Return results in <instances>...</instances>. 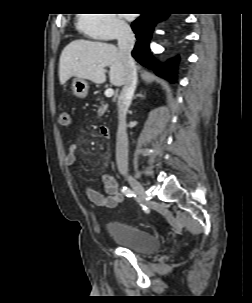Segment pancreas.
<instances>
[{
  "mask_svg": "<svg viewBox=\"0 0 252 303\" xmlns=\"http://www.w3.org/2000/svg\"><path fill=\"white\" fill-rule=\"evenodd\" d=\"M97 100L101 103V106L98 109V116L101 117L107 111V103L100 97H98Z\"/></svg>",
  "mask_w": 252,
  "mask_h": 303,
  "instance_id": "pancreas-1",
  "label": "pancreas"
}]
</instances>
